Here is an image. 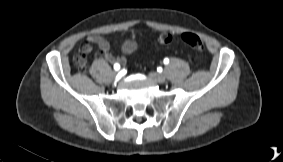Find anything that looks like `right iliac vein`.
<instances>
[{
	"instance_id": "63e3f726",
	"label": "right iliac vein",
	"mask_w": 283,
	"mask_h": 162,
	"mask_svg": "<svg viewBox=\"0 0 283 162\" xmlns=\"http://www.w3.org/2000/svg\"><path fill=\"white\" fill-rule=\"evenodd\" d=\"M118 76V73L117 72H112L111 73V78L114 79Z\"/></svg>"
}]
</instances>
